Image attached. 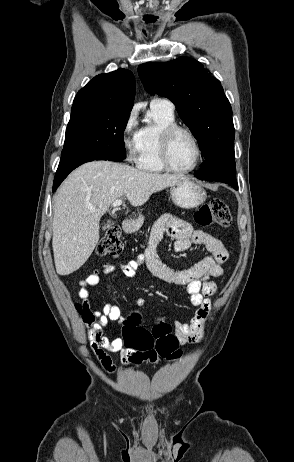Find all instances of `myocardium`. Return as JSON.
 <instances>
[{
	"mask_svg": "<svg viewBox=\"0 0 294 462\" xmlns=\"http://www.w3.org/2000/svg\"><path fill=\"white\" fill-rule=\"evenodd\" d=\"M183 132L187 134L193 141L195 148H196V157L193 162V164L188 167V168H177L175 167L170 159V147H171V142L174 138V136L179 133ZM202 157V147L200 144L199 139L197 136L194 134L193 131H191L189 128L185 126H181L178 124H172L164 128L161 132L160 135V160L163 165V167L170 172L173 173H189L197 168V166L200 163Z\"/></svg>",
	"mask_w": 294,
	"mask_h": 462,
	"instance_id": "1",
	"label": "myocardium"
}]
</instances>
